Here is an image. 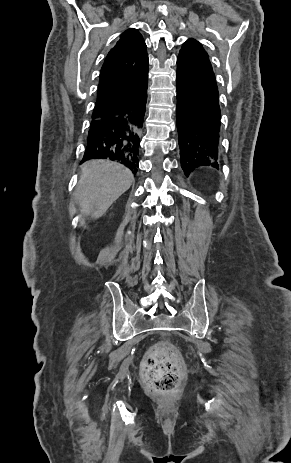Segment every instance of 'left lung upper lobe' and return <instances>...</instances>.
I'll list each match as a JSON object with an SVG mask.
<instances>
[{"label": "left lung upper lobe", "mask_w": 291, "mask_h": 463, "mask_svg": "<svg viewBox=\"0 0 291 463\" xmlns=\"http://www.w3.org/2000/svg\"><path fill=\"white\" fill-rule=\"evenodd\" d=\"M177 70L216 83L208 54L194 39L184 42L177 58Z\"/></svg>", "instance_id": "obj_1"}]
</instances>
